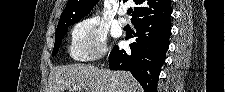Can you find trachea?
<instances>
[{
    "label": "trachea",
    "mask_w": 225,
    "mask_h": 92,
    "mask_svg": "<svg viewBox=\"0 0 225 92\" xmlns=\"http://www.w3.org/2000/svg\"><path fill=\"white\" fill-rule=\"evenodd\" d=\"M127 13H128V14H131V13H132V9H128V10H127Z\"/></svg>",
    "instance_id": "trachea-1"
}]
</instances>
